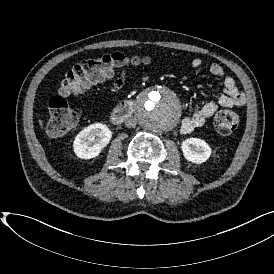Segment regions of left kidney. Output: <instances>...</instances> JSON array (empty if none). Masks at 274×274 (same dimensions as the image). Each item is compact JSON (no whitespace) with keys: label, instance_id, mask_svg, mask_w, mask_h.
Masks as SVG:
<instances>
[{"label":"left kidney","instance_id":"left-kidney-1","mask_svg":"<svg viewBox=\"0 0 274 274\" xmlns=\"http://www.w3.org/2000/svg\"><path fill=\"white\" fill-rule=\"evenodd\" d=\"M185 159L193 163H203L211 155L209 145L199 138H189L182 142L181 145Z\"/></svg>","mask_w":274,"mask_h":274}]
</instances>
